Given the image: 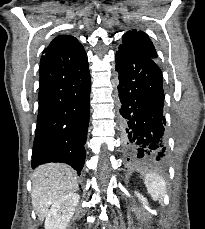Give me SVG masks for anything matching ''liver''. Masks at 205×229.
I'll return each mask as SVG.
<instances>
[{
  "label": "liver",
  "instance_id": "6515ba94",
  "mask_svg": "<svg viewBox=\"0 0 205 229\" xmlns=\"http://www.w3.org/2000/svg\"><path fill=\"white\" fill-rule=\"evenodd\" d=\"M32 205L40 220L48 213L51 204L78 189L76 172L62 163L39 166L32 175Z\"/></svg>",
  "mask_w": 205,
  "mask_h": 229
}]
</instances>
